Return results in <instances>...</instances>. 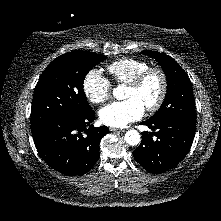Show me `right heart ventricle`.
Masks as SVG:
<instances>
[{
  "label": "right heart ventricle",
  "mask_w": 221,
  "mask_h": 221,
  "mask_svg": "<svg viewBox=\"0 0 221 221\" xmlns=\"http://www.w3.org/2000/svg\"><path fill=\"white\" fill-rule=\"evenodd\" d=\"M147 68H149L148 62L130 57L118 59L107 66L109 74L119 84H128L134 77Z\"/></svg>",
  "instance_id": "e07e8e85"
}]
</instances>
